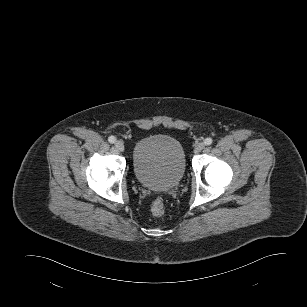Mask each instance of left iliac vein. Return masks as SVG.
<instances>
[{
  "instance_id": "obj_1",
  "label": "left iliac vein",
  "mask_w": 307,
  "mask_h": 307,
  "mask_svg": "<svg viewBox=\"0 0 307 307\" xmlns=\"http://www.w3.org/2000/svg\"><path fill=\"white\" fill-rule=\"evenodd\" d=\"M205 147V144L203 142H199L194 147V152L199 153L203 148Z\"/></svg>"
}]
</instances>
